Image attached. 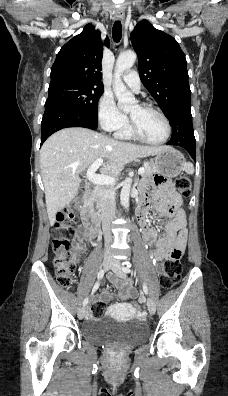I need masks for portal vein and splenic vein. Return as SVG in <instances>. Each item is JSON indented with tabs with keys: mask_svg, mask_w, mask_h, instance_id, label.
<instances>
[{
	"mask_svg": "<svg viewBox=\"0 0 228 396\" xmlns=\"http://www.w3.org/2000/svg\"><path fill=\"white\" fill-rule=\"evenodd\" d=\"M103 163V159H97L87 170L86 178L96 185H114L116 180L114 177L96 174V170ZM145 172L144 167L139 168L138 174L142 175Z\"/></svg>",
	"mask_w": 228,
	"mask_h": 396,
	"instance_id": "portal-vein-and-splenic-vein-1",
	"label": "portal vein and splenic vein"
}]
</instances>
